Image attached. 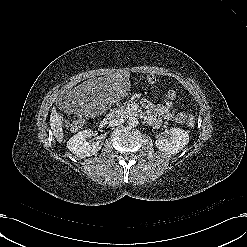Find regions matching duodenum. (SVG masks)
<instances>
[{
	"label": "duodenum",
	"mask_w": 247,
	"mask_h": 247,
	"mask_svg": "<svg viewBox=\"0 0 247 247\" xmlns=\"http://www.w3.org/2000/svg\"><path fill=\"white\" fill-rule=\"evenodd\" d=\"M144 107V106H143ZM145 108V107H144ZM114 118L113 117H107L106 119L103 120L102 124L103 125H106L108 124L109 122H111Z\"/></svg>",
	"instance_id": "duodenum-1"
}]
</instances>
